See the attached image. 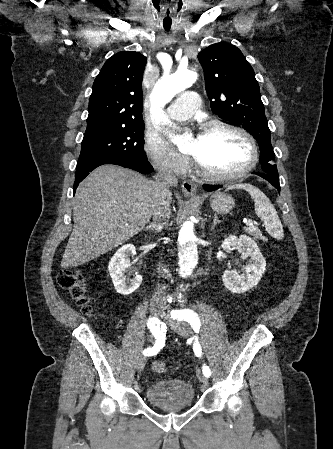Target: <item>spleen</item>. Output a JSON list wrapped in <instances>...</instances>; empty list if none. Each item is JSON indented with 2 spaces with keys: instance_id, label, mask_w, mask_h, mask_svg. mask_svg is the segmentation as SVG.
Returning a JSON list of instances; mask_svg holds the SVG:
<instances>
[{
  "instance_id": "obj_1",
  "label": "spleen",
  "mask_w": 333,
  "mask_h": 449,
  "mask_svg": "<svg viewBox=\"0 0 333 449\" xmlns=\"http://www.w3.org/2000/svg\"><path fill=\"white\" fill-rule=\"evenodd\" d=\"M245 189L254 200L255 213L263 221L266 231L276 239L284 236L283 226L274 205L268 197L257 187L250 184H236L228 187L231 189Z\"/></svg>"
}]
</instances>
